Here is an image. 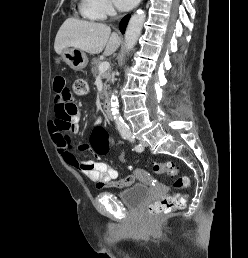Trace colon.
I'll return each instance as SVG.
<instances>
[{
  "label": "colon",
  "mask_w": 248,
  "mask_h": 258,
  "mask_svg": "<svg viewBox=\"0 0 248 258\" xmlns=\"http://www.w3.org/2000/svg\"><path fill=\"white\" fill-rule=\"evenodd\" d=\"M72 92L77 96L86 95L88 93L87 82L82 78H76L72 83ZM76 112L77 109L74 105L66 106L63 111L59 112L55 117V124L60 129L69 130L72 126L71 116ZM92 139L94 151L98 155L105 154L112 145L119 146L120 150L126 149V146L121 145L120 141L111 142L107 130L103 127H98L94 130ZM153 169L156 173L171 178L172 183L176 188H185L189 185V178L187 176H178L179 168L173 161L155 163ZM185 203L186 196L183 194H166L149 205L148 213L151 217L157 218L169 212L182 209L185 206Z\"/></svg>",
  "instance_id": "5ec220e1"
}]
</instances>
